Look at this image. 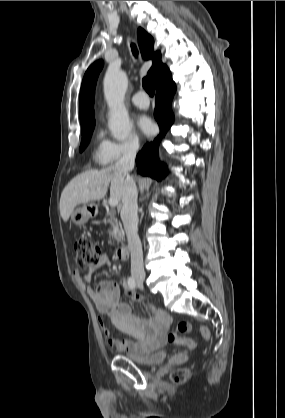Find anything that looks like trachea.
<instances>
[{
  "label": "trachea",
  "mask_w": 285,
  "mask_h": 418,
  "mask_svg": "<svg viewBox=\"0 0 285 418\" xmlns=\"http://www.w3.org/2000/svg\"><path fill=\"white\" fill-rule=\"evenodd\" d=\"M132 51L135 56H137V50L135 45H132ZM143 88L146 90V92L152 97L155 94V87L152 79L150 77H144L143 81Z\"/></svg>",
  "instance_id": "3493384b"
}]
</instances>
